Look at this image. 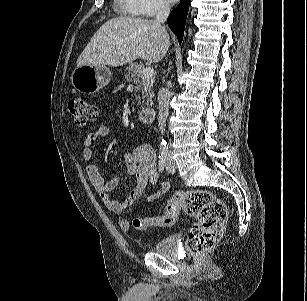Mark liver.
I'll return each mask as SVG.
<instances>
[{"label":"liver","instance_id":"obj_1","mask_svg":"<svg viewBox=\"0 0 307 301\" xmlns=\"http://www.w3.org/2000/svg\"><path fill=\"white\" fill-rule=\"evenodd\" d=\"M170 46L168 33L156 20L116 17L94 34L77 60L82 65L122 66L141 57L159 62Z\"/></svg>","mask_w":307,"mask_h":301}]
</instances>
